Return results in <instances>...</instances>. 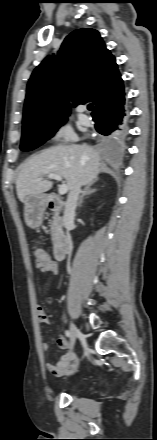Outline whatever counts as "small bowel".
Wrapping results in <instances>:
<instances>
[{"mask_svg": "<svg viewBox=\"0 0 157 440\" xmlns=\"http://www.w3.org/2000/svg\"><path fill=\"white\" fill-rule=\"evenodd\" d=\"M40 270L43 272H50L52 274H57L58 266L54 261H50L46 266L40 268ZM37 317H38V321L41 324L49 323V317L45 313L43 307L40 305L37 306ZM57 346L60 349L68 350L69 343L63 336H60L57 340ZM42 348L44 351H48L50 349L49 343L44 342L42 344ZM80 363H81L80 359L73 352L67 351L65 354L59 357L57 362L55 363L48 362L46 364V368L55 376H59V377L71 376L76 372H78L80 368Z\"/></svg>", "mask_w": 157, "mask_h": 440, "instance_id": "small-bowel-1", "label": "small bowel"}]
</instances>
